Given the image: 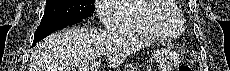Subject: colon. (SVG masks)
Listing matches in <instances>:
<instances>
[{
    "label": "colon",
    "mask_w": 230,
    "mask_h": 71,
    "mask_svg": "<svg viewBox=\"0 0 230 71\" xmlns=\"http://www.w3.org/2000/svg\"><path fill=\"white\" fill-rule=\"evenodd\" d=\"M178 71H192V68L189 65H181Z\"/></svg>",
    "instance_id": "colon-1"
}]
</instances>
